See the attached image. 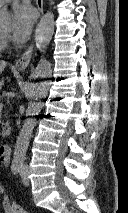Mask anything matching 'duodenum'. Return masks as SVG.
Listing matches in <instances>:
<instances>
[{"mask_svg": "<svg viewBox=\"0 0 128 213\" xmlns=\"http://www.w3.org/2000/svg\"><path fill=\"white\" fill-rule=\"evenodd\" d=\"M11 159V147L8 145H1L0 146V160L7 164L10 162Z\"/></svg>", "mask_w": 128, "mask_h": 213, "instance_id": "1", "label": "duodenum"}]
</instances>
